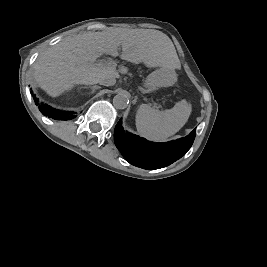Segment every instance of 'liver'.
<instances>
[{
    "mask_svg": "<svg viewBox=\"0 0 267 267\" xmlns=\"http://www.w3.org/2000/svg\"><path fill=\"white\" fill-rule=\"evenodd\" d=\"M147 67L180 68V60L171 39L161 31L149 29H113L68 37L40 53L33 64L35 81L52 97L76 84L92 85L104 76L119 77L116 68L96 63L103 54L118 56ZM123 73L126 69H121Z\"/></svg>",
    "mask_w": 267,
    "mask_h": 267,
    "instance_id": "liver-1",
    "label": "liver"
}]
</instances>
